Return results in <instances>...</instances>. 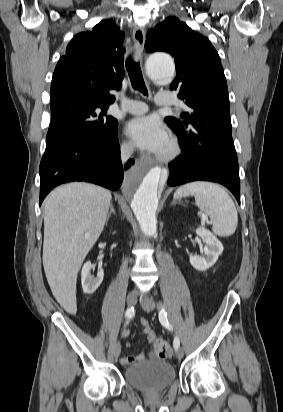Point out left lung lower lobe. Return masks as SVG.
<instances>
[{
    "label": "left lung lower lobe",
    "instance_id": "obj_1",
    "mask_svg": "<svg viewBox=\"0 0 283 412\" xmlns=\"http://www.w3.org/2000/svg\"><path fill=\"white\" fill-rule=\"evenodd\" d=\"M183 150L169 164L168 185L176 186L196 180L213 181L226 186L240 204V179L238 163L211 158L199 136L193 132L177 134Z\"/></svg>",
    "mask_w": 283,
    "mask_h": 412
}]
</instances>
